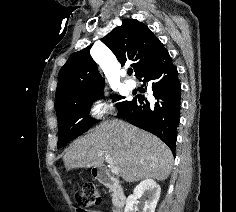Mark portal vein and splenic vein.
Wrapping results in <instances>:
<instances>
[{
	"mask_svg": "<svg viewBox=\"0 0 236 212\" xmlns=\"http://www.w3.org/2000/svg\"><path fill=\"white\" fill-rule=\"evenodd\" d=\"M100 155H102V153ZM106 160L111 165V172L114 175H118L120 173V169H119V167L113 165L112 158L109 155H106Z\"/></svg>",
	"mask_w": 236,
	"mask_h": 212,
	"instance_id": "1",
	"label": "portal vein and splenic vein"
}]
</instances>
